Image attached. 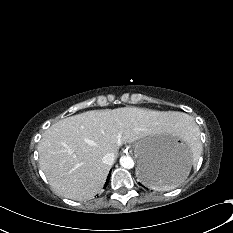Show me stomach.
I'll return each instance as SVG.
<instances>
[{"label":"stomach","instance_id":"0dacf381","mask_svg":"<svg viewBox=\"0 0 233 233\" xmlns=\"http://www.w3.org/2000/svg\"><path fill=\"white\" fill-rule=\"evenodd\" d=\"M133 146L138 160L136 174L152 189L169 187L190 172V150L166 134H148L138 139Z\"/></svg>","mask_w":233,"mask_h":233}]
</instances>
